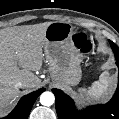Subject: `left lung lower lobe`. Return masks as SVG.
<instances>
[{
	"label": "left lung lower lobe",
	"instance_id": "0a47b994",
	"mask_svg": "<svg viewBox=\"0 0 119 119\" xmlns=\"http://www.w3.org/2000/svg\"><path fill=\"white\" fill-rule=\"evenodd\" d=\"M119 68V47L109 41ZM59 119H119V84L113 98L106 104L94 105L77 110L74 101L59 89L52 90Z\"/></svg>",
	"mask_w": 119,
	"mask_h": 119
}]
</instances>
